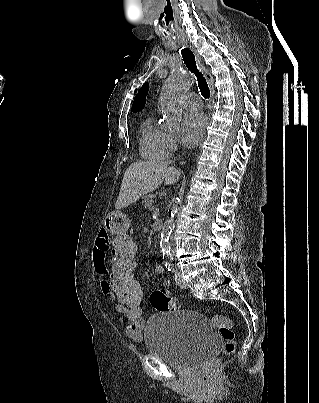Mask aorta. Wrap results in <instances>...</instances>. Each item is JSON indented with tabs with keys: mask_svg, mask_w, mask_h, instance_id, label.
I'll return each instance as SVG.
<instances>
[{
	"mask_svg": "<svg viewBox=\"0 0 319 403\" xmlns=\"http://www.w3.org/2000/svg\"><path fill=\"white\" fill-rule=\"evenodd\" d=\"M191 77L181 71L174 70L165 82L161 93V110L163 119L168 127H177L180 124L182 109L180 106V98L189 88ZM180 199L175 198L172 202L171 215L165 221L160 234V249L163 256L171 253L170 237L175 228V215L178 212Z\"/></svg>",
	"mask_w": 319,
	"mask_h": 403,
	"instance_id": "obj_1",
	"label": "aorta"
}]
</instances>
